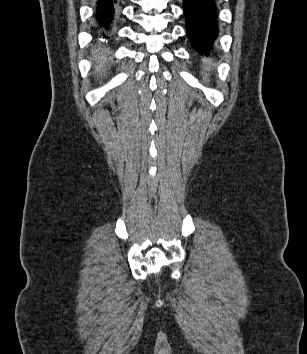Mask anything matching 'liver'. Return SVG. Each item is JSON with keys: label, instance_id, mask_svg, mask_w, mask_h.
I'll use <instances>...</instances> for the list:
<instances>
[{"label": "liver", "instance_id": "1", "mask_svg": "<svg viewBox=\"0 0 307 354\" xmlns=\"http://www.w3.org/2000/svg\"><path fill=\"white\" fill-rule=\"evenodd\" d=\"M96 53H98V58L96 57L95 60L98 61V63L100 64L99 67L96 69V71H100V68H103L104 67V60L105 58L103 57V54L102 52H100V48L96 51Z\"/></svg>", "mask_w": 307, "mask_h": 354}]
</instances>
